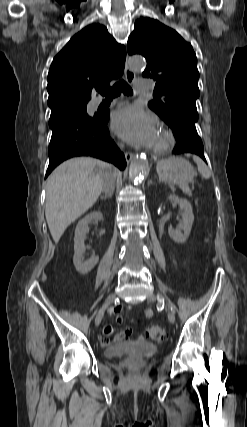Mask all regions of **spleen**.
Returning a JSON list of instances; mask_svg holds the SVG:
<instances>
[{
	"label": "spleen",
	"instance_id": "spleen-1",
	"mask_svg": "<svg viewBox=\"0 0 247 427\" xmlns=\"http://www.w3.org/2000/svg\"><path fill=\"white\" fill-rule=\"evenodd\" d=\"M193 160L196 162L197 167H198V171L200 172V174L206 179L210 178L211 171L205 165V163L197 156H193ZM159 166H160V163L157 165V169Z\"/></svg>",
	"mask_w": 247,
	"mask_h": 427
}]
</instances>
